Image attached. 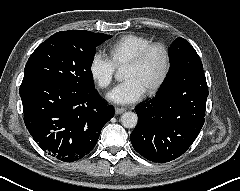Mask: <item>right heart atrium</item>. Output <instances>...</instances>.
<instances>
[{"instance_id":"obj_1","label":"right heart atrium","mask_w":240,"mask_h":191,"mask_svg":"<svg viewBox=\"0 0 240 191\" xmlns=\"http://www.w3.org/2000/svg\"><path fill=\"white\" fill-rule=\"evenodd\" d=\"M91 78L101 88H108L114 77L115 64L104 53H95L89 63Z\"/></svg>"}]
</instances>
